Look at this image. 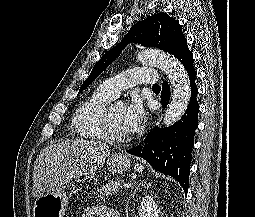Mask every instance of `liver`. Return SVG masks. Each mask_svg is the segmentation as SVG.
<instances>
[{"mask_svg": "<svg viewBox=\"0 0 255 217\" xmlns=\"http://www.w3.org/2000/svg\"><path fill=\"white\" fill-rule=\"evenodd\" d=\"M110 154L102 142L72 140L53 144L38 155L33 170V196L39 198L62 188L72 179L94 174Z\"/></svg>", "mask_w": 255, "mask_h": 217, "instance_id": "6515ba94", "label": "liver"}]
</instances>
